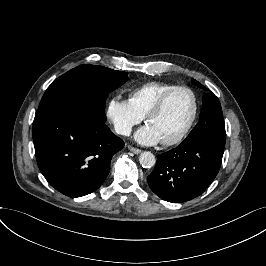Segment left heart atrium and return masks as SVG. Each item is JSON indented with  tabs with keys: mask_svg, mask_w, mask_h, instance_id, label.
<instances>
[{
	"mask_svg": "<svg viewBox=\"0 0 266 266\" xmlns=\"http://www.w3.org/2000/svg\"><path fill=\"white\" fill-rule=\"evenodd\" d=\"M135 138L142 144H156L161 140L160 135L156 131V129L150 125L149 123L142 126L135 134Z\"/></svg>",
	"mask_w": 266,
	"mask_h": 266,
	"instance_id": "left-heart-atrium-1",
	"label": "left heart atrium"
}]
</instances>
